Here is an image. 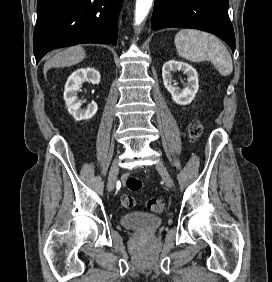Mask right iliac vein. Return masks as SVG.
Segmentation results:
<instances>
[{
    "label": "right iliac vein",
    "instance_id": "1",
    "mask_svg": "<svg viewBox=\"0 0 272 282\" xmlns=\"http://www.w3.org/2000/svg\"><path fill=\"white\" fill-rule=\"evenodd\" d=\"M119 171L118 159H115L111 165L108 175L107 188L109 191H113L116 183V177Z\"/></svg>",
    "mask_w": 272,
    "mask_h": 282
}]
</instances>
